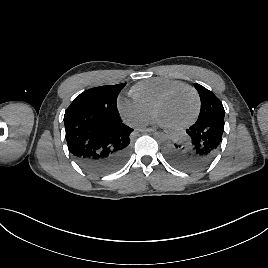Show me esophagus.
Wrapping results in <instances>:
<instances>
[{
	"label": "esophagus",
	"mask_w": 268,
	"mask_h": 268,
	"mask_svg": "<svg viewBox=\"0 0 268 268\" xmlns=\"http://www.w3.org/2000/svg\"><path fill=\"white\" fill-rule=\"evenodd\" d=\"M139 131L142 133H154L155 132L153 128H140Z\"/></svg>",
	"instance_id": "1"
}]
</instances>
